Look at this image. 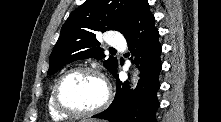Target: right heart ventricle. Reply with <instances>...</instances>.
<instances>
[{
    "mask_svg": "<svg viewBox=\"0 0 221 122\" xmlns=\"http://www.w3.org/2000/svg\"><path fill=\"white\" fill-rule=\"evenodd\" d=\"M54 88V87H53ZM53 88L51 89L50 93H49V97H48V103H47V106H48V112H49V115L50 117L55 120V121H61V120H64L67 118V115L59 112L55 106H54V103H53Z\"/></svg>",
    "mask_w": 221,
    "mask_h": 122,
    "instance_id": "1",
    "label": "right heart ventricle"
}]
</instances>
